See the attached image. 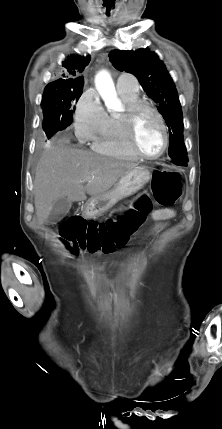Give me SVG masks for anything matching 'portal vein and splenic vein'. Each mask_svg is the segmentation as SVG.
<instances>
[{"instance_id":"obj_1","label":"portal vein and splenic vein","mask_w":222,"mask_h":429,"mask_svg":"<svg viewBox=\"0 0 222 429\" xmlns=\"http://www.w3.org/2000/svg\"><path fill=\"white\" fill-rule=\"evenodd\" d=\"M86 182H88L89 181V179H87V180H85Z\"/></svg>"}]
</instances>
